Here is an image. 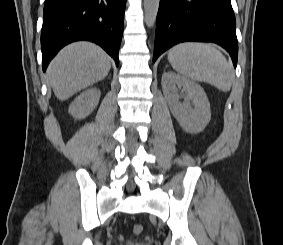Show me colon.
<instances>
[{"instance_id": "1", "label": "colon", "mask_w": 283, "mask_h": 245, "mask_svg": "<svg viewBox=\"0 0 283 245\" xmlns=\"http://www.w3.org/2000/svg\"><path fill=\"white\" fill-rule=\"evenodd\" d=\"M142 231H143V226H142L141 224H135V225L133 226V233H134L135 235L141 234Z\"/></svg>"}]
</instances>
